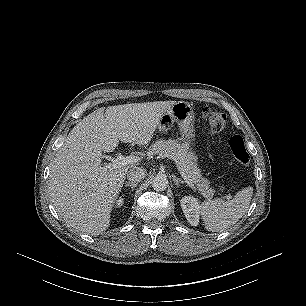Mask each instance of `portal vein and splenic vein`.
<instances>
[{"mask_svg":"<svg viewBox=\"0 0 306 306\" xmlns=\"http://www.w3.org/2000/svg\"><path fill=\"white\" fill-rule=\"evenodd\" d=\"M106 159L111 160V163H109V167L112 168H119V167H123L126 166L128 164H132V163H137L141 160V158L139 156H124L122 154H119L117 156L116 159H112L111 157H106ZM178 171L181 174L182 178L185 180V182L188 184V186L193 189L196 190L195 186L192 184V182L190 181V179L185 175V173L183 172V170L181 169L180 166H178ZM227 199H230L231 196H226Z\"/></svg>","mask_w":306,"mask_h":306,"instance_id":"portal-vein-and-splenic-vein-1","label":"portal vein and splenic vein"}]
</instances>
